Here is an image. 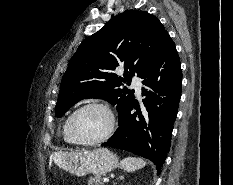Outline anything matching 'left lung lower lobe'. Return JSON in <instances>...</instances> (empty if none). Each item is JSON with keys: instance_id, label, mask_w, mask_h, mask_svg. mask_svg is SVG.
I'll return each mask as SVG.
<instances>
[{"instance_id": "obj_1", "label": "left lung lower lobe", "mask_w": 233, "mask_h": 185, "mask_svg": "<svg viewBox=\"0 0 233 185\" xmlns=\"http://www.w3.org/2000/svg\"><path fill=\"white\" fill-rule=\"evenodd\" d=\"M140 78L147 86L142 93L144 108L141 111L133 101L114 135L102 145L147 158L160 173L170 149L182 88L180 60L170 36ZM133 108L137 113H131Z\"/></svg>"}]
</instances>
